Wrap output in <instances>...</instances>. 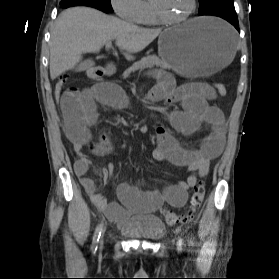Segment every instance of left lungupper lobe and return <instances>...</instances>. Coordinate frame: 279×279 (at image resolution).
<instances>
[{
	"instance_id": "left-lung-upper-lobe-1",
	"label": "left lung upper lobe",
	"mask_w": 279,
	"mask_h": 279,
	"mask_svg": "<svg viewBox=\"0 0 279 279\" xmlns=\"http://www.w3.org/2000/svg\"><path fill=\"white\" fill-rule=\"evenodd\" d=\"M200 2V13H204L214 7L222 5H234L233 0H199Z\"/></svg>"
}]
</instances>
